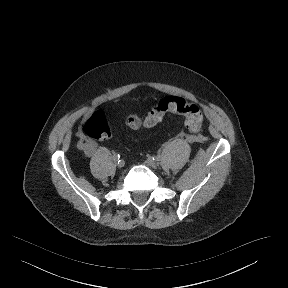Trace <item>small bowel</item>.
<instances>
[{"mask_svg": "<svg viewBox=\"0 0 288 288\" xmlns=\"http://www.w3.org/2000/svg\"><path fill=\"white\" fill-rule=\"evenodd\" d=\"M95 150V145L90 143L88 146L83 150L87 156H91Z\"/></svg>", "mask_w": 288, "mask_h": 288, "instance_id": "1", "label": "small bowel"}]
</instances>
